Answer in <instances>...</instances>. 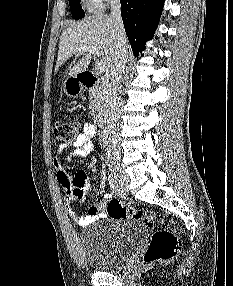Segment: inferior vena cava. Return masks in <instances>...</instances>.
Instances as JSON below:
<instances>
[{"label":"inferior vena cava","instance_id":"602c4592","mask_svg":"<svg viewBox=\"0 0 233 286\" xmlns=\"http://www.w3.org/2000/svg\"><path fill=\"white\" fill-rule=\"evenodd\" d=\"M111 18L114 22L115 52L103 79V113L105 131L110 136L112 134L111 138L116 140L113 146H117L119 128L118 92L128 57L127 39L121 18L120 0H111Z\"/></svg>","mask_w":233,"mask_h":286}]
</instances>
